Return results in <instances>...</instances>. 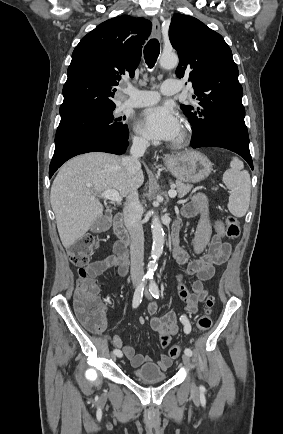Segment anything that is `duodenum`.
I'll list each match as a JSON object with an SVG mask.
<instances>
[{"label": "duodenum", "mask_w": 283, "mask_h": 434, "mask_svg": "<svg viewBox=\"0 0 283 434\" xmlns=\"http://www.w3.org/2000/svg\"><path fill=\"white\" fill-rule=\"evenodd\" d=\"M113 230L119 239L118 243L121 245L122 249L127 252V247L129 245L130 237L128 231L124 226L123 215L121 213H117L114 217ZM172 240L173 241L178 240V226L173 227Z\"/></svg>", "instance_id": "1"}]
</instances>
